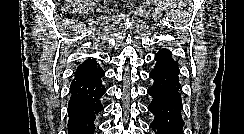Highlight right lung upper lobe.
Listing matches in <instances>:
<instances>
[{
    "label": "right lung upper lobe",
    "mask_w": 244,
    "mask_h": 134,
    "mask_svg": "<svg viewBox=\"0 0 244 134\" xmlns=\"http://www.w3.org/2000/svg\"><path fill=\"white\" fill-rule=\"evenodd\" d=\"M105 74L95 59H87L80 64L75 72V80L93 78Z\"/></svg>",
    "instance_id": "1"
}]
</instances>
